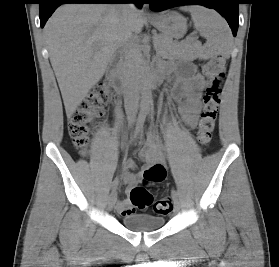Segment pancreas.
Returning <instances> with one entry per match:
<instances>
[{
    "instance_id": "obj_1",
    "label": "pancreas",
    "mask_w": 279,
    "mask_h": 267,
    "mask_svg": "<svg viewBox=\"0 0 279 267\" xmlns=\"http://www.w3.org/2000/svg\"><path fill=\"white\" fill-rule=\"evenodd\" d=\"M154 43L159 54L167 59H192L200 48L197 42L189 41L176 44L170 38L161 35L155 37ZM139 53V45L132 44L129 46L127 58L120 63V69L123 74L137 75L141 71Z\"/></svg>"
}]
</instances>
